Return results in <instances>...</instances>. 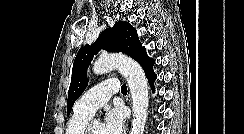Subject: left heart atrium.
Here are the masks:
<instances>
[{"instance_id": "obj_1", "label": "left heart atrium", "mask_w": 244, "mask_h": 134, "mask_svg": "<svg viewBox=\"0 0 244 134\" xmlns=\"http://www.w3.org/2000/svg\"><path fill=\"white\" fill-rule=\"evenodd\" d=\"M103 134H123L125 126V115L122 109L109 110L105 115Z\"/></svg>"}]
</instances>
